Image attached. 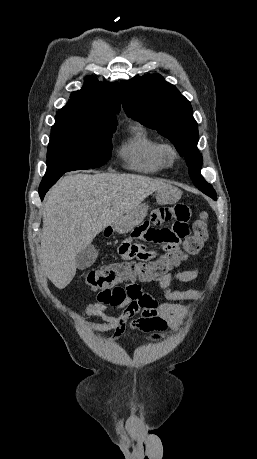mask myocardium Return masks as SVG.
I'll return each instance as SVG.
<instances>
[{
  "label": "myocardium",
  "mask_w": 257,
  "mask_h": 459,
  "mask_svg": "<svg viewBox=\"0 0 257 459\" xmlns=\"http://www.w3.org/2000/svg\"><path fill=\"white\" fill-rule=\"evenodd\" d=\"M159 156L166 167L173 166L179 157L178 150L169 143H162L159 147Z\"/></svg>",
  "instance_id": "myocardium-1"
}]
</instances>
